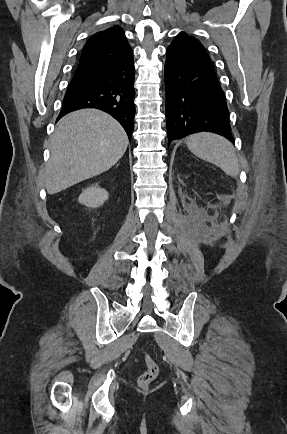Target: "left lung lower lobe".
<instances>
[{
  "label": "left lung lower lobe",
  "mask_w": 287,
  "mask_h": 434,
  "mask_svg": "<svg viewBox=\"0 0 287 434\" xmlns=\"http://www.w3.org/2000/svg\"><path fill=\"white\" fill-rule=\"evenodd\" d=\"M165 86L168 145L201 131L234 141L225 94L213 66L167 54Z\"/></svg>",
  "instance_id": "1"
}]
</instances>
